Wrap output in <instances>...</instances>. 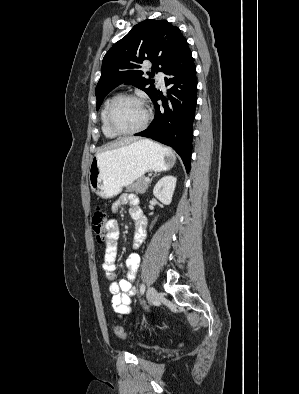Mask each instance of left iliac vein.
<instances>
[{"label": "left iliac vein", "instance_id": "left-iliac-vein-1", "mask_svg": "<svg viewBox=\"0 0 299 394\" xmlns=\"http://www.w3.org/2000/svg\"><path fill=\"white\" fill-rule=\"evenodd\" d=\"M158 297V293L156 291V289L154 287H149L148 291H147V300L149 303H152L153 301H155Z\"/></svg>", "mask_w": 299, "mask_h": 394}]
</instances>
